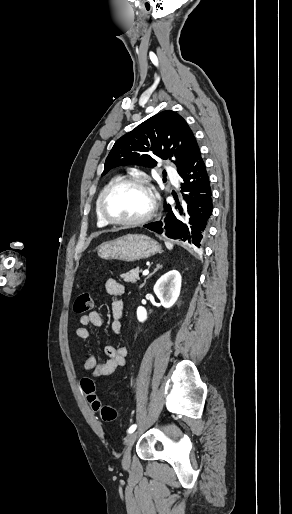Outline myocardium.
I'll return each instance as SVG.
<instances>
[{"label": "myocardium", "instance_id": "1", "mask_svg": "<svg viewBox=\"0 0 292 514\" xmlns=\"http://www.w3.org/2000/svg\"><path fill=\"white\" fill-rule=\"evenodd\" d=\"M122 185H135V186L142 188L143 190H145L147 192V194L149 195V198H150V207L145 215H143L142 217L136 218V219H132V220H117V219L111 217L105 211L104 202H105L107 194L112 189H114L118 186H122ZM155 210H156V199H155V196H154L152 190L149 188V186L146 184V182L144 180L137 178V177H122V178H118V179L112 181L103 189V191L101 192L99 199H98V211H99L100 215L106 222H108L109 224H114V225L136 226V225L143 224V223L147 222L153 216Z\"/></svg>", "mask_w": 292, "mask_h": 514}]
</instances>
